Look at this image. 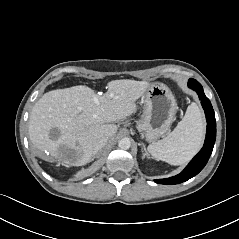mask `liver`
<instances>
[{"instance_id": "obj_1", "label": "liver", "mask_w": 239, "mask_h": 239, "mask_svg": "<svg viewBox=\"0 0 239 239\" xmlns=\"http://www.w3.org/2000/svg\"><path fill=\"white\" fill-rule=\"evenodd\" d=\"M151 86L146 81L113 80L99 94L79 85L45 93L33 106L29 117V139L43 158H53L72 166H83L97 154V143L117 133L113 124L135 113L136 100ZM53 130L58 134L51 137ZM67 148L75 150L74 160L64 158ZM45 153H49L48 158Z\"/></svg>"}]
</instances>
